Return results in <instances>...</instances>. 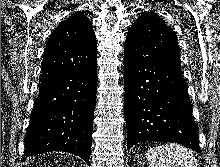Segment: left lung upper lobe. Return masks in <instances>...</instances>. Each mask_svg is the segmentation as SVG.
Instances as JSON below:
<instances>
[{
  "mask_svg": "<svg viewBox=\"0 0 220 167\" xmlns=\"http://www.w3.org/2000/svg\"><path fill=\"white\" fill-rule=\"evenodd\" d=\"M124 53L138 60L181 66L175 32L152 12H143L131 26Z\"/></svg>",
  "mask_w": 220,
  "mask_h": 167,
  "instance_id": "5c2ea615",
  "label": "left lung upper lobe"
}]
</instances>
